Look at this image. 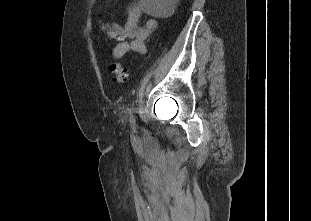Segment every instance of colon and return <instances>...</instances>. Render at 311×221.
<instances>
[{
    "label": "colon",
    "mask_w": 311,
    "mask_h": 221,
    "mask_svg": "<svg viewBox=\"0 0 311 221\" xmlns=\"http://www.w3.org/2000/svg\"><path fill=\"white\" fill-rule=\"evenodd\" d=\"M102 30L105 32V34L114 41H122L123 36L117 29V24L106 21L102 25ZM110 73L112 75V80L115 85H122L127 81L128 78V72L127 70L118 63H113L109 67Z\"/></svg>",
    "instance_id": "1"
}]
</instances>
